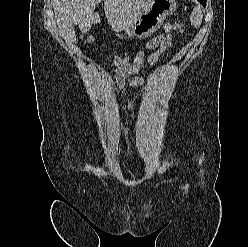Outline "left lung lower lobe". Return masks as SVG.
<instances>
[{
  "label": "left lung lower lobe",
  "instance_id": "0a47b994",
  "mask_svg": "<svg viewBox=\"0 0 248 247\" xmlns=\"http://www.w3.org/2000/svg\"><path fill=\"white\" fill-rule=\"evenodd\" d=\"M204 7L206 6V0H198Z\"/></svg>",
  "mask_w": 248,
  "mask_h": 247
}]
</instances>
